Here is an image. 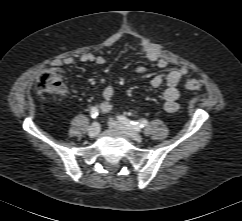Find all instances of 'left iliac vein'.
Listing matches in <instances>:
<instances>
[{"label": "left iliac vein", "mask_w": 242, "mask_h": 221, "mask_svg": "<svg viewBox=\"0 0 242 221\" xmlns=\"http://www.w3.org/2000/svg\"><path fill=\"white\" fill-rule=\"evenodd\" d=\"M109 125L112 128L120 131L121 133H123L125 136L129 137L132 140H135L137 142H141L142 141V136L138 132H136V131L126 127L125 125H123L120 122L110 121Z\"/></svg>", "instance_id": "left-iliac-vein-1"}]
</instances>
